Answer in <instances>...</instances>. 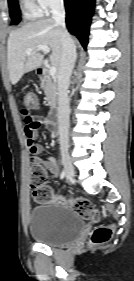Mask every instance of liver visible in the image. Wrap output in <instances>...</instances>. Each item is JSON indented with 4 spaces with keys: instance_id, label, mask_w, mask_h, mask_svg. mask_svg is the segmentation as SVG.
<instances>
[{
    "instance_id": "1",
    "label": "liver",
    "mask_w": 134,
    "mask_h": 281,
    "mask_svg": "<svg viewBox=\"0 0 134 281\" xmlns=\"http://www.w3.org/2000/svg\"><path fill=\"white\" fill-rule=\"evenodd\" d=\"M38 45H47L51 49L50 62L58 68L62 57L60 28L53 19H41L29 22L12 31L7 41V67L10 82L15 85L25 73L39 68L44 54ZM28 48H35L26 53Z\"/></svg>"
}]
</instances>
